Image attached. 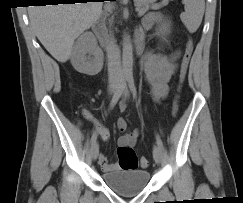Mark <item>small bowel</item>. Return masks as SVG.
Segmentation results:
<instances>
[{
	"label": "small bowel",
	"instance_id": "obj_1",
	"mask_svg": "<svg viewBox=\"0 0 243 203\" xmlns=\"http://www.w3.org/2000/svg\"><path fill=\"white\" fill-rule=\"evenodd\" d=\"M158 19L159 16L157 14L148 15L143 21V29L148 30L158 21ZM178 57V52H175L170 56L147 52L143 57L142 68L148 83L152 87L153 96L157 101L163 100L168 93L169 83L177 70L176 61ZM126 108V102H122L119 106L120 111H124ZM87 116L95 125L96 133L101 136L102 140H108L110 137L108 128L90 114H87ZM117 128L123 133L118 139V144L133 147L138 140L140 134L139 130L134 129L131 132H126L127 123L123 118L118 119ZM98 162L105 172L119 169L118 163H110L103 154H99Z\"/></svg>",
	"mask_w": 243,
	"mask_h": 203
}]
</instances>
